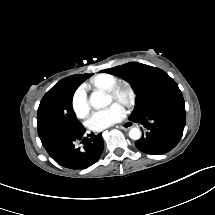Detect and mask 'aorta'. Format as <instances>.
<instances>
[{
  "instance_id": "762f6f07",
  "label": "aorta",
  "mask_w": 215,
  "mask_h": 215,
  "mask_svg": "<svg viewBox=\"0 0 215 215\" xmlns=\"http://www.w3.org/2000/svg\"><path fill=\"white\" fill-rule=\"evenodd\" d=\"M112 103L111 95L104 91H95L90 95V104L94 109L104 108ZM129 137L133 140L141 138V131L139 128H131L129 131Z\"/></svg>"
}]
</instances>
